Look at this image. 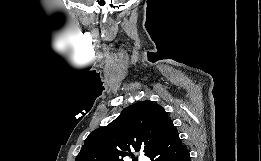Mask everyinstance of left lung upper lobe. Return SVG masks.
<instances>
[{
	"instance_id": "5c2ea615",
	"label": "left lung upper lobe",
	"mask_w": 261,
	"mask_h": 161,
	"mask_svg": "<svg viewBox=\"0 0 261 161\" xmlns=\"http://www.w3.org/2000/svg\"><path fill=\"white\" fill-rule=\"evenodd\" d=\"M176 128L162 106L139 101L127 107L105 127L94 130L85 140L75 161H123L131 151L146 156L165 144Z\"/></svg>"
}]
</instances>
